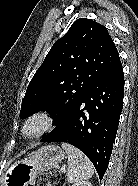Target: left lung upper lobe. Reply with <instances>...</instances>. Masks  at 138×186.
I'll use <instances>...</instances> for the list:
<instances>
[{"instance_id":"left-lung-upper-lobe-1","label":"left lung upper lobe","mask_w":138,"mask_h":186,"mask_svg":"<svg viewBox=\"0 0 138 186\" xmlns=\"http://www.w3.org/2000/svg\"><path fill=\"white\" fill-rule=\"evenodd\" d=\"M106 27L86 18L76 20L58 39L28 85L20 118L38 111L57 115V131L83 101L95 82L119 61Z\"/></svg>"}]
</instances>
